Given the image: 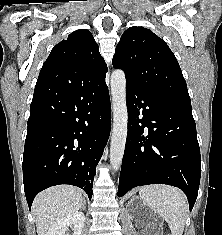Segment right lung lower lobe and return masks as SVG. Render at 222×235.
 Wrapping results in <instances>:
<instances>
[{"instance_id": "obj_1", "label": "right lung lower lobe", "mask_w": 222, "mask_h": 235, "mask_svg": "<svg viewBox=\"0 0 222 235\" xmlns=\"http://www.w3.org/2000/svg\"><path fill=\"white\" fill-rule=\"evenodd\" d=\"M34 103L50 118L27 127L23 182L29 208L40 191L58 184L78 186L91 199L111 126L105 76L71 88L36 87Z\"/></svg>"}]
</instances>
